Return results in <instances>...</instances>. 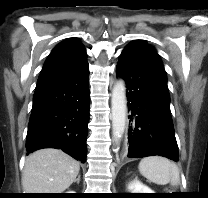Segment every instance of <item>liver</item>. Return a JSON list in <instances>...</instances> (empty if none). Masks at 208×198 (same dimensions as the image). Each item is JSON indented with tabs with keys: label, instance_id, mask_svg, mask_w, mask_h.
<instances>
[{
	"label": "liver",
	"instance_id": "1",
	"mask_svg": "<svg viewBox=\"0 0 208 198\" xmlns=\"http://www.w3.org/2000/svg\"><path fill=\"white\" fill-rule=\"evenodd\" d=\"M79 170V162L61 150L41 149L26 158L22 187L27 193H62Z\"/></svg>",
	"mask_w": 208,
	"mask_h": 198
}]
</instances>
